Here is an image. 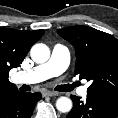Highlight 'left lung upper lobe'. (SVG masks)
<instances>
[{"label": "left lung upper lobe", "mask_w": 118, "mask_h": 118, "mask_svg": "<svg viewBox=\"0 0 118 118\" xmlns=\"http://www.w3.org/2000/svg\"><path fill=\"white\" fill-rule=\"evenodd\" d=\"M57 33L76 50L75 74L91 81L87 94L118 100V40L88 26H72Z\"/></svg>", "instance_id": "left-lung-upper-lobe-1"}]
</instances>
